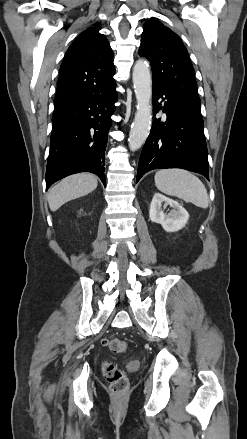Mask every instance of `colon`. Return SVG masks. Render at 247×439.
<instances>
[{
    "label": "colon",
    "instance_id": "5ec220e1",
    "mask_svg": "<svg viewBox=\"0 0 247 439\" xmlns=\"http://www.w3.org/2000/svg\"><path fill=\"white\" fill-rule=\"evenodd\" d=\"M105 345L108 346L113 353H121L127 349L126 341L118 338L106 340ZM103 374L113 393L120 394L125 391L128 385L127 376L113 362L107 361L104 363Z\"/></svg>",
    "mask_w": 247,
    "mask_h": 439
}]
</instances>
